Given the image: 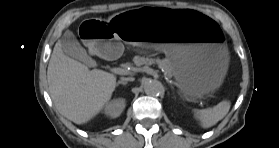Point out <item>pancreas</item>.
Wrapping results in <instances>:
<instances>
[{
	"label": "pancreas",
	"instance_id": "1",
	"mask_svg": "<svg viewBox=\"0 0 279 148\" xmlns=\"http://www.w3.org/2000/svg\"><path fill=\"white\" fill-rule=\"evenodd\" d=\"M134 63L138 66L142 64L156 63L161 69L164 70L165 75L172 76V65L168 59H159V58L154 59V58L136 56L134 58Z\"/></svg>",
	"mask_w": 279,
	"mask_h": 148
}]
</instances>
